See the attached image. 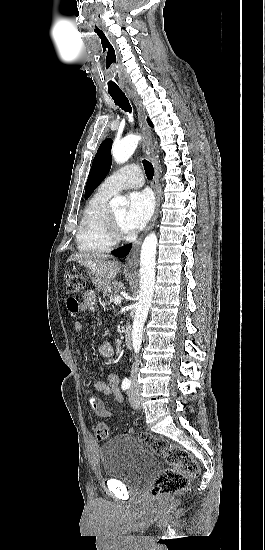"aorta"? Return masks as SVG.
<instances>
[{
    "label": "aorta",
    "instance_id": "762f6f07",
    "mask_svg": "<svg viewBox=\"0 0 265 550\" xmlns=\"http://www.w3.org/2000/svg\"><path fill=\"white\" fill-rule=\"evenodd\" d=\"M140 139L139 135H128L121 141L114 143L112 147L114 160L117 163H125L134 153ZM126 204L127 201L122 196H116L110 202L113 208L125 206ZM157 241L156 234L152 232L146 236L141 247L140 291L132 325V346L135 353H139L141 348L143 328L154 294Z\"/></svg>",
    "mask_w": 265,
    "mask_h": 550
}]
</instances>
